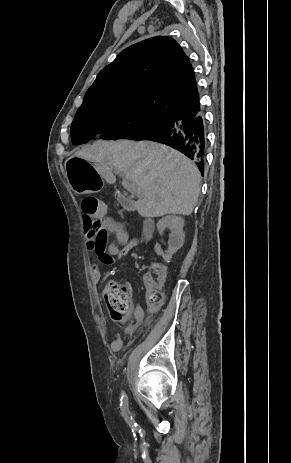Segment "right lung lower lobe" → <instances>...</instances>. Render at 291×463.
Segmentation results:
<instances>
[{"mask_svg": "<svg viewBox=\"0 0 291 463\" xmlns=\"http://www.w3.org/2000/svg\"><path fill=\"white\" fill-rule=\"evenodd\" d=\"M145 139L166 144L180 151L196 163L203 175L206 138L201 112L194 117L167 115L162 125L135 140Z\"/></svg>", "mask_w": 291, "mask_h": 463, "instance_id": "right-lung-lower-lobe-1", "label": "right lung lower lobe"}]
</instances>
